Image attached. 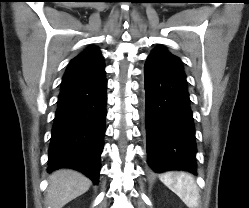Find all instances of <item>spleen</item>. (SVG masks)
<instances>
[{
  "instance_id": "3e777b00",
  "label": "spleen",
  "mask_w": 249,
  "mask_h": 208,
  "mask_svg": "<svg viewBox=\"0 0 249 208\" xmlns=\"http://www.w3.org/2000/svg\"><path fill=\"white\" fill-rule=\"evenodd\" d=\"M160 179L189 208L198 206L199 193L194 178L191 175L186 173H166Z\"/></svg>"
}]
</instances>
